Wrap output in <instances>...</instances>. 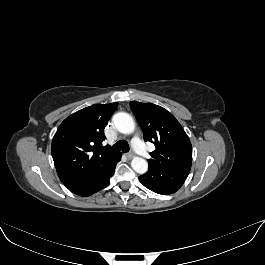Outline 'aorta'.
Masks as SVG:
<instances>
[{
    "instance_id": "aorta-1",
    "label": "aorta",
    "mask_w": 265,
    "mask_h": 265,
    "mask_svg": "<svg viewBox=\"0 0 265 265\" xmlns=\"http://www.w3.org/2000/svg\"><path fill=\"white\" fill-rule=\"evenodd\" d=\"M114 127L123 134H131L134 132L135 123L133 118L125 112L116 113L113 116ZM133 170L139 174H144L148 170V163L141 157H135L131 161Z\"/></svg>"
}]
</instances>
